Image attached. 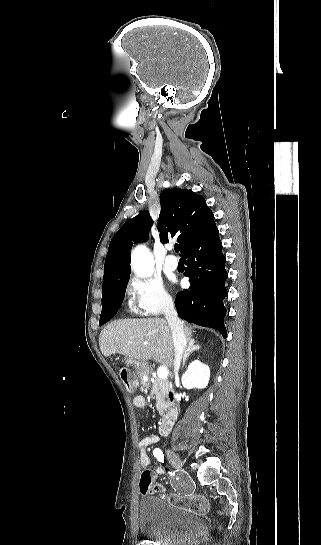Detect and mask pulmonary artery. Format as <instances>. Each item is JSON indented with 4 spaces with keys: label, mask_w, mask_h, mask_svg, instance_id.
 <instances>
[{
    "label": "pulmonary artery",
    "mask_w": 321,
    "mask_h": 545,
    "mask_svg": "<svg viewBox=\"0 0 321 545\" xmlns=\"http://www.w3.org/2000/svg\"><path fill=\"white\" fill-rule=\"evenodd\" d=\"M164 267L168 270H176L178 267V261L175 259H166L164 261Z\"/></svg>",
    "instance_id": "pulmonary-artery-1"
}]
</instances>
